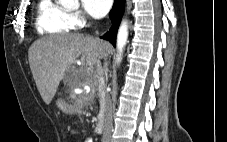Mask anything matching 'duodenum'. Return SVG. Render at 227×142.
Segmentation results:
<instances>
[{"label":"duodenum","mask_w":227,"mask_h":142,"mask_svg":"<svg viewBox=\"0 0 227 142\" xmlns=\"http://www.w3.org/2000/svg\"><path fill=\"white\" fill-rule=\"evenodd\" d=\"M104 117H105V110H103V111L100 113L99 118H98V121H97V123H96V125H95L94 130H95L96 133H100V132H102V130H103V126H104Z\"/></svg>","instance_id":"obj_1"}]
</instances>
